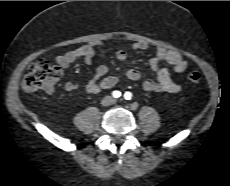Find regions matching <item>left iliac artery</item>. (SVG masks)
I'll list each match as a JSON object with an SVG mask.
<instances>
[{
  "label": "left iliac artery",
  "mask_w": 230,
  "mask_h": 186,
  "mask_svg": "<svg viewBox=\"0 0 230 186\" xmlns=\"http://www.w3.org/2000/svg\"><path fill=\"white\" fill-rule=\"evenodd\" d=\"M124 98H125L126 100H130V99L132 98V93H131V92H125Z\"/></svg>",
  "instance_id": "44dca946"
}]
</instances>
